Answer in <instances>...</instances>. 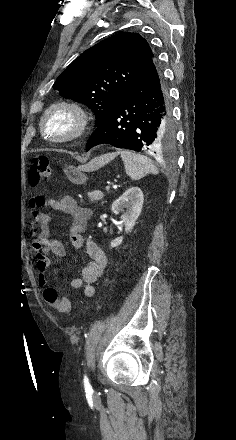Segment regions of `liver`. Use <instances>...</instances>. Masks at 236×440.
I'll return each mask as SVG.
<instances>
[{
	"label": "liver",
	"instance_id": "1",
	"mask_svg": "<svg viewBox=\"0 0 236 440\" xmlns=\"http://www.w3.org/2000/svg\"><path fill=\"white\" fill-rule=\"evenodd\" d=\"M110 159H112L111 155H104V156L98 157V158H96L94 160H96L97 161V165L99 167H101V166L105 165Z\"/></svg>",
	"mask_w": 236,
	"mask_h": 440
}]
</instances>
